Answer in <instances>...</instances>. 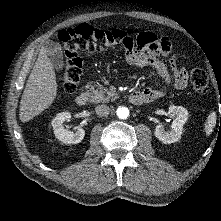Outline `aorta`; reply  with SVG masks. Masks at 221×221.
Returning a JSON list of instances; mask_svg holds the SVG:
<instances>
[{"mask_svg": "<svg viewBox=\"0 0 221 221\" xmlns=\"http://www.w3.org/2000/svg\"><path fill=\"white\" fill-rule=\"evenodd\" d=\"M117 116L120 119H127L129 117V110L126 107H119L117 109Z\"/></svg>", "mask_w": 221, "mask_h": 221, "instance_id": "obj_1", "label": "aorta"}]
</instances>
